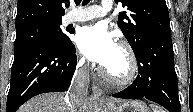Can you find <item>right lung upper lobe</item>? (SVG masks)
<instances>
[{"instance_id":"obj_1","label":"right lung upper lobe","mask_w":193,"mask_h":112,"mask_svg":"<svg viewBox=\"0 0 193 112\" xmlns=\"http://www.w3.org/2000/svg\"><path fill=\"white\" fill-rule=\"evenodd\" d=\"M66 2L69 0H18L16 30L61 23Z\"/></svg>"}]
</instances>
